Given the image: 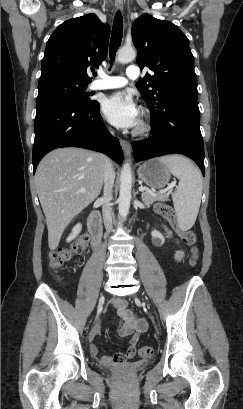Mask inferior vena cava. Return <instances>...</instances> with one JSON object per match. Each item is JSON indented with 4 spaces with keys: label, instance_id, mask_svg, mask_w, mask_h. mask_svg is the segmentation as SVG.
<instances>
[{
    "label": "inferior vena cava",
    "instance_id": "obj_1",
    "mask_svg": "<svg viewBox=\"0 0 243 409\" xmlns=\"http://www.w3.org/2000/svg\"><path fill=\"white\" fill-rule=\"evenodd\" d=\"M115 171L113 169L110 159L105 158L104 163V194L102 197V212L104 225L107 232L112 230V216H111V200L113 198L112 188L114 185Z\"/></svg>",
    "mask_w": 243,
    "mask_h": 409
}]
</instances>
